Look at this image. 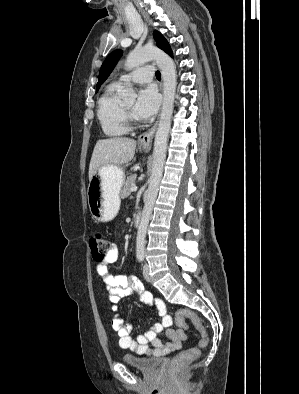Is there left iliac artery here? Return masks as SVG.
<instances>
[{
  "mask_svg": "<svg viewBox=\"0 0 299 394\" xmlns=\"http://www.w3.org/2000/svg\"><path fill=\"white\" fill-rule=\"evenodd\" d=\"M139 260L142 261V260H143V257H139Z\"/></svg>",
  "mask_w": 299,
  "mask_h": 394,
  "instance_id": "left-iliac-artery-1",
  "label": "left iliac artery"
}]
</instances>
